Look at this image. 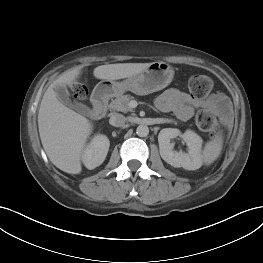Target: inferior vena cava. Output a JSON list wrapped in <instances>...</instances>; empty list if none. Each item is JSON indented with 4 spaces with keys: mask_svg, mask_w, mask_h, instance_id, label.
<instances>
[{
    "mask_svg": "<svg viewBox=\"0 0 263 263\" xmlns=\"http://www.w3.org/2000/svg\"><path fill=\"white\" fill-rule=\"evenodd\" d=\"M125 122H126L125 116L119 113L113 114L109 119V123L115 127H121L125 125Z\"/></svg>",
    "mask_w": 263,
    "mask_h": 263,
    "instance_id": "inferior-vena-cava-1",
    "label": "inferior vena cava"
}]
</instances>
